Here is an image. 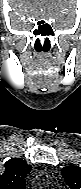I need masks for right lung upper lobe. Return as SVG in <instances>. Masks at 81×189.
Instances as JSON below:
<instances>
[{"mask_svg":"<svg viewBox=\"0 0 81 189\" xmlns=\"http://www.w3.org/2000/svg\"><path fill=\"white\" fill-rule=\"evenodd\" d=\"M32 167L20 158H12L5 163L0 176V189H25V176Z\"/></svg>","mask_w":81,"mask_h":189,"instance_id":"1","label":"right lung upper lobe"}]
</instances>
